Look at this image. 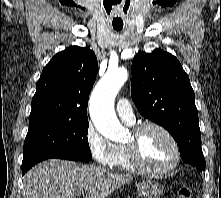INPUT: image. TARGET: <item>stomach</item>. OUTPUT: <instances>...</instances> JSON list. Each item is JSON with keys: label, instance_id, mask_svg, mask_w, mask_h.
Segmentation results:
<instances>
[{"label": "stomach", "instance_id": "0dacf381", "mask_svg": "<svg viewBox=\"0 0 221 198\" xmlns=\"http://www.w3.org/2000/svg\"><path fill=\"white\" fill-rule=\"evenodd\" d=\"M137 192L139 198H160L163 189L158 182L146 180L137 184Z\"/></svg>", "mask_w": 221, "mask_h": 198}]
</instances>
